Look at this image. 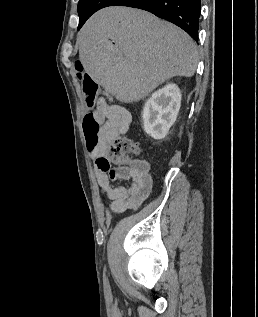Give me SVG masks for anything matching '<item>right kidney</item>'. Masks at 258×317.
<instances>
[{"mask_svg": "<svg viewBox=\"0 0 258 317\" xmlns=\"http://www.w3.org/2000/svg\"><path fill=\"white\" fill-rule=\"evenodd\" d=\"M181 106V92L177 84H165L155 90L143 108V128L153 138H164L174 124Z\"/></svg>", "mask_w": 258, "mask_h": 317, "instance_id": "ca27d5eb", "label": "right kidney"}]
</instances>
